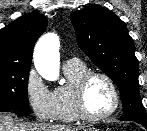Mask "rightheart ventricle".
Instances as JSON below:
<instances>
[{"mask_svg":"<svg viewBox=\"0 0 147 131\" xmlns=\"http://www.w3.org/2000/svg\"><path fill=\"white\" fill-rule=\"evenodd\" d=\"M67 83L58 86L53 91L56 103L55 119L61 123H72L80 120L76 111L74 101V85L78 78L88 71V68L82 62L65 64L63 67Z\"/></svg>","mask_w":147,"mask_h":131,"instance_id":"right-heart-ventricle-1","label":"right heart ventricle"}]
</instances>
